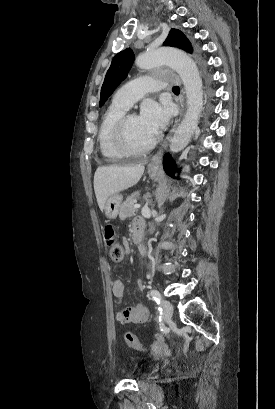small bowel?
<instances>
[{
  "instance_id": "obj_1",
  "label": "small bowel",
  "mask_w": 275,
  "mask_h": 409,
  "mask_svg": "<svg viewBox=\"0 0 275 409\" xmlns=\"http://www.w3.org/2000/svg\"><path fill=\"white\" fill-rule=\"evenodd\" d=\"M138 221V220H137ZM141 221V220H140ZM144 287L142 281H138L135 285L137 290H142ZM113 293L117 298H122L125 294V285L120 280H115L113 282ZM117 318L121 323H136L141 324L147 322L149 318V311L143 304H136L122 309L118 314Z\"/></svg>"
}]
</instances>
